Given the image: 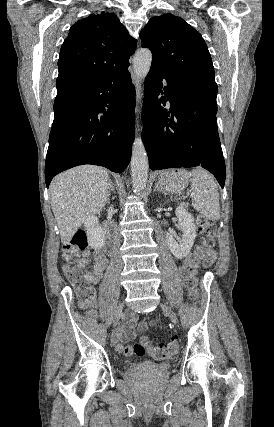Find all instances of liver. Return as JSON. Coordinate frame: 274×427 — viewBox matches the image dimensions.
<instances>
[{"instance_id": "6515ba94", "label": "liver", "mask_w": 274, "mask_h": 427, "mask_svg": "<svg viewBox=\"0 0 274 427\" xmlns=\"http://www.w3.org/2000/svg\"><path fill=\"white\" fill-rule=\"evenodd\" d=\"M110 186L108 172L99 166H77L53 178L49 200L62 243H70L88 215L102 212Z\"/></svg>"}]
</instances>
